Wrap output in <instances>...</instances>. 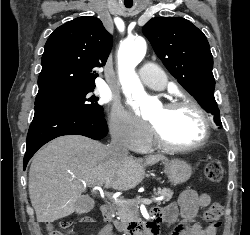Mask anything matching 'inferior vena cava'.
I'll return each instance as SVG.
<instances>
[{"label":"inferior vena cava","instance_id":"obj_1","mask_svg":"<svg viewBox=\"0 0 250 235\" xmlns=\"http://www.w3.org/2000/svg\"><path fill=\"white\" fill-rule=\"evenodd\" d=\"M108 150L113 156H124L128 154V149L117 134H113Z\"/></svg>","mask_w":250,"mask_h":235}]
</instances>
